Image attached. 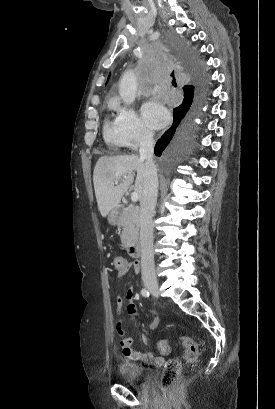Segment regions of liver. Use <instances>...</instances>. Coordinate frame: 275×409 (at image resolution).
<instances>
[{
    "instance_id": "1",
    "label": "liver",
    "mask_w": 275,
    "mask_h": 409,
    "mask_svg": "<svg viewBox=\"0 0 275 409\" xmlns=\"http://www.w3.org/2000/svg\"><path fill=\"white\" fill-rule=\"evenodd\" d=\"M135 170L137 176L134 190L141 200L146 170L145 158H139L137 154L98 158L93 172V182L98 209L102 217H107L114 207H118L123 194L127 192L134 180ZM122 176H127V178L120 180ZM114 180H119L116 186H114Z\"/></svg>"
}]
</instances>
